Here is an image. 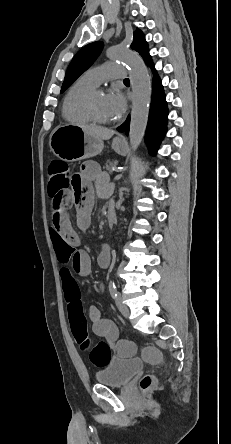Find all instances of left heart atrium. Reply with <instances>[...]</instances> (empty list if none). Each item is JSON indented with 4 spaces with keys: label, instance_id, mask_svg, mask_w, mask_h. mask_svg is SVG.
<instances>
[{
    "label": "left heart atrium",
    "instance_id": "39dd6f15",
    "mask_svg": "<svg viewBox=\"0 0 231 444\" xmlns=\"http://www.w3.org/2000/svg\"><path fill=\"white\" fill-rule=\"evenodd\" d=\"M106 103L114 118L119 117L126 109V100L120 90H112L106 95Z\"/></svg>",
    "mask_w": 231,
    "mask_h": 444
}]
</instances>
